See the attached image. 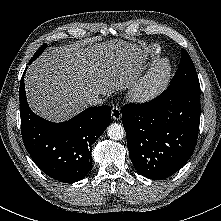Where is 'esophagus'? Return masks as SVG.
<instances>
[{
    "mask_svg": "<svg viewBox=\"0 0 221 221\" xmlns=\"http://www.w3.org/2000/svg\"><path fill=\"white\" fill-rule=\"evenodd\" d=\"M111 116L115 120H120L122 117L121 109L117 106H113L111 109Z\"/></svg>",
    "mask_w": 221,
    "mask_h": 221,
    "instance_id": "34e87169",
    "label": "esophagus"
}]
</instances>
